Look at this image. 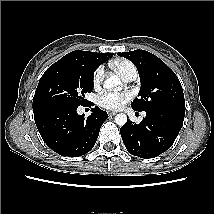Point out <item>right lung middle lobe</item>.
I'll return each mask as SVG.
<instances>
[{
    "label": "right lung middle lobe",
    "instance_id": "1",
    "mask_svg": "<svg viewBox=\"0 0 214 214\" xmlns=\"http://www.w3.org/2000/svg\"><path fill=\"white\" fill-rule=\"evenodd\" d=\"M95 69L81 63L56 62L42 75L33 98V112L50 106L86 104Z\"/></svg>",
    "mask_w": 214,
    "mask_h": 214
}]
</instances>
